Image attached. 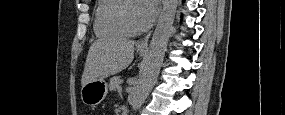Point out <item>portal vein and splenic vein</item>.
<instances>
[{
    "label": "portal vein and splenic vein",
    "mask_w": 285,
    "mask_h": 115,
    "mask_svg": "<svg viewBox=\"0 0 285 115\" xmlns=\"http://www.w3.org/2000/svg\"><path fill=\"white\" fill-rule=\"evenodd\" d=\"M121 91H122V87L119 86V87H118V92H121Z\"/></svg>",
    "instance_id": "obj_1"
}]
</instances>
